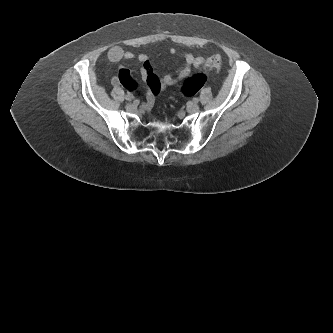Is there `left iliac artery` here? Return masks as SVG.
<instances>
[{"label":"left iliac artery","instance_id":"44dca946","mask_svg":"<svg viewBox=\"0 0 333 333\" xmlns=\"http://www.w3.org/2000/svg\"><path fill=\"white\" fill-rule=\"evenodd\" d=\"M193 102H194V103H198V102H199V99H198V98H194V99H193Z\"/></svg>","mask_w":333,"mask_h":333}]
</instances>
